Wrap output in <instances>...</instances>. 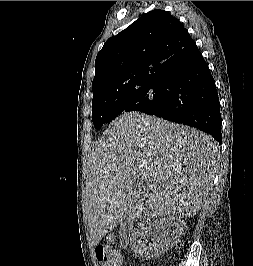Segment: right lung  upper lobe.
Wrapping results in <instances>:
<instances>
[{
  "label": "right lung upper lobe",
  "instance_id": "cb5924a9",
  "mask_svg": "<svg viewBox=\"0 0 253 266\" xmlns=\"http://www.w3.org/2000/svg\"><path fill=\"white\" fill-rule=\"evenodd\" d=\"M199 53L183 24L169 12L153 10L143 14L108 39L97 54L92 104L163 81Z\"/></svg>",
  "mask_w": 253,
  "mask_h": 266
}]
</instances>
